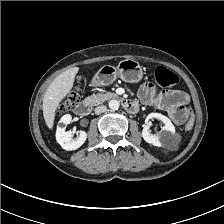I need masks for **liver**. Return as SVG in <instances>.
<instances>
[{
  "label": "liver",
  "mask_w": 224,
  "mask_h": 224,
  "mask_svg": "<svg viewBox=\"0 0 224 224\" xmlns=\"http://www.w3.org/2000/svg\"><path fill=\"white\" fill-rule=\"evenodd\" d=\"M78 67L68 69L57 76L49 85L43 98V116L49 129L53 128L55 112L60 102L70 93Z\"/></svg>",
  "instance_id": "1"
}]
</instances>
